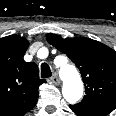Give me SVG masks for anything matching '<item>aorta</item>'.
I'll return each instance as SVG.
<instances>
[{
	"label": "aorta",
	"instance_id": "1",
	"mask_svg": "<svg viewBox=\"0 0 116 116\" xmlns=\"http://www.w3.org/2000/svg\"><path fill=\"white\" fill-rule=\"evenodd\" d=\"M60 75L63 80L62 95L70 104H75L83 95V83L76 68L69 63L62 65Z\"/></svg>",
	"mask_w": 116,
	"mask_h": 116
}]
</instances>
